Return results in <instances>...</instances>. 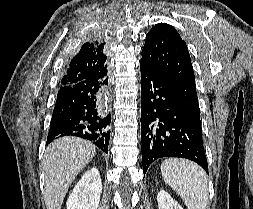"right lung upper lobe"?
Masks as SVG:
<instances>
[{
	"label": "right lung upper lobe",
	"mask_w": 253,
	"mask_h": 209,
	"mask_svg": "<svg viewBox=\"0 0 253 209\" xmlns=\"http://www.w3.org/2000/svg\"><path fill=\"white\" fill-rule=\"evenodd\" d=\"M104 43L86 42L80 51L71 59L60 87L83 81L93 75L107 71L105 65Z\"/></svg>",
	"instance_id": "obj_1"
}]
</instances>
